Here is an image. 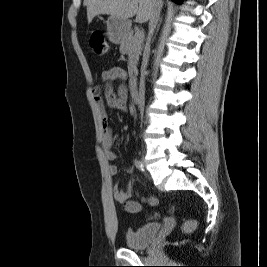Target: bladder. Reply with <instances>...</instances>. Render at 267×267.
<instances>
[{
	"mask_svg": "<svg viewBox=\"0 0 267 267\" xmlns=\"http://www.w3.org/2000/svg\"><path fill=\"white\" fill-rule=\"evenodd\" d=\"M158 223H147L125 234V243L129 249L140 250L148 247L160 232Z\"/></svg>",
	"mask_w": 267,
	"mask_h": 267,
	"instance_id": "31cf9c89",
	"label": "bladder"
}]
</instances>
